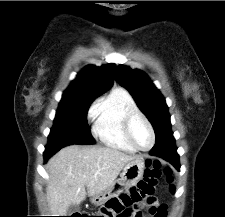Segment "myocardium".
Segmentation results:
<instances>
[{"label":"myocardium","instance_id":"1","mask_svg":"<svg viewBox=\"0 0 225 217\" xmlns=\"http://www.w3.org/2000/svg\"><path fill=\"white\" fill-rule=\"evenodd\" d=\"M141 119L145 122V124L147 125V127L150 130L151 136H152V142L151 145L147 148H142L140 147L134 140L133 137V133H132V125L133 122L136 119ZM123 127H124V134L125 137L127 139V141L129 142V144L136 149L137 151H149L150 149L153 148V146L155 145L156 142V134H155V130L154 127L152 125V123L150 122V120L138 109L132 110L130 112H128L124 118V123H123Z\"/></svg>","mask_w":225,"mask_h":217}]
</instances>
